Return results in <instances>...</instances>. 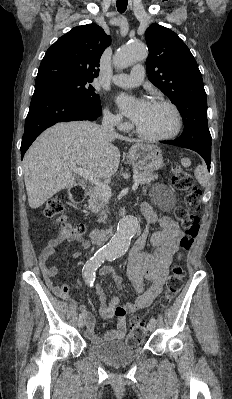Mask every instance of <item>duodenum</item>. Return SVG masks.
<instances>
[{"label":"duodenum","mask_w":232,"mask_h":399,"mask_svg":"<svg viewBox=\"0 0 232 399\" xmlns=\"http://www.w3.org/2000/svg\"><path fill=\"white\" fill-rule=\"evenodd\" d=\"M87 195L86 187L82 185L75 186L69 193V199L72 203L82 202ZM110 229H95L90 233V240L96 244H103L109 237Z\"/></svg>","instance_id":"1"}]
</instances>
